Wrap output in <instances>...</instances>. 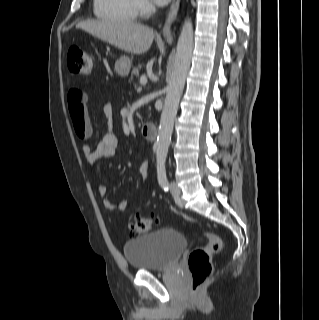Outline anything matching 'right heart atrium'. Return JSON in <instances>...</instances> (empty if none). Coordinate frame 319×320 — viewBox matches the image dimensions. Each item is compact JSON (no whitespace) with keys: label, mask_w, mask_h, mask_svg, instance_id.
Segmentation results:
<instances>
[{"label":"right heart atrium","mask_w":319,"mask_h":320,"mask_svg":"<svg viewBox=\"0 0 319 320\" xmlns=\"http://www.w3.org/2000/svg\"><path fill=\"white\" fill-rule=\"evenodd\" d=\"M137 11L141 15H147L153 11V4L150 0H135Z\"/></svg>","instance_id":"obj_1"}]
</instances>
